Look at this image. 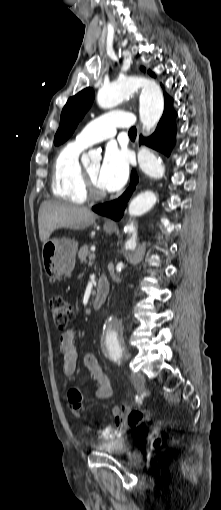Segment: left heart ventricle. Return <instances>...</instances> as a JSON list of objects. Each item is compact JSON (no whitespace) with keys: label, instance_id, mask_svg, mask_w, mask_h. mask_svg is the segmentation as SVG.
<instances>
[{"label":"left heart ventricle","instance_id":"left-heart-ventricle-1","mask_svg":"<svg viewBox=\"0 0 221 510\" xmlns=\"http://www.w3.org/2000/svg\"><path fill=\"white\" fill-rule=\"evenodd\" d=\"M99 170H100V164H99V163H96V164L90 165L89 167H87V168H86V171H87V173H88L89 177L91 178V180L93 181V183L95 184V186H96L99 190L104 191V190L100 187L99 182H98Z\"/></svg>","mask_w":221,"mask_h":510}]
</instances>
